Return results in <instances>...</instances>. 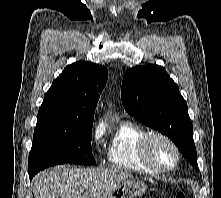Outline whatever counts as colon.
Returning a JSON list of instances; mask_svg holds the SVG:
<instances>
[{
    "label": "colon",
    "instance_id": "colon-1",
    "mask_svg": "<svg viewBox=\"0 0 221 198\" xmlns=\"http://www.w3.org/2000/svg\"><path fill=\"white\" fill-rule=\"evenodd\" d=\"M173 198H186V196L182 192H177L174 194Z\"/></svg>",
    "mask_w": 221,
    "mask_h": 198
}]
</instances>
